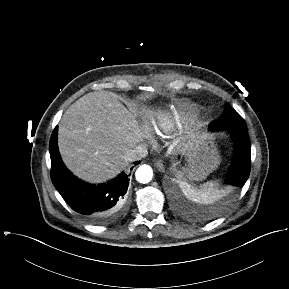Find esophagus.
Returning <instances> with one entry per match:
<instances>
[{
	"label": "esophagus",
	"mask_w": 289,
	"mask_h": 289,
	"mask_svg": "<svg viewBox=\"0 0 289 289\" xmlns=\"http://www.w3.org/2000/svg\"><path fill=\"white\" fill-rule=\"evenodd\" d=\"M154 165H155V167H156L159 171L164 172L165 167H164V164L162 163L161 160H156L155 163H154Z\"/></svg>",
	"instance_id": "34e87169"
}]
</instances>
